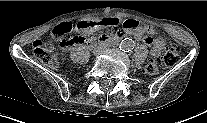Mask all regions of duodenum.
I'll list each match as a JSON object with an SVG mask.
<instances>
[{
	"label": "duodenum",
	"instance_id": "obj_1",
	"mask_svg": "<svg viewBox=\"0 0 207 123\" xmlns=\"http://www.w3.org/2000/svg\"><path fill=\"white\" fill-rule=\"evenodd\" d=\"M123 37L122 36H119V37H113V38H110V39H107V40H103L101 38V43H104V44H115L117 42H119ZM96 44V42L94 40H88L85 44V46L87 48H90V47H93L94 45Z\"/></svg>",
	"mask_w": 207,
	"mask_h": 123
}]
</instances>
